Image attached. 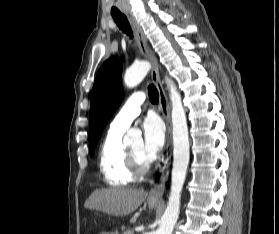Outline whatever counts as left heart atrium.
Wrapping results in <instances>:
<instances>
[{
  "mask_svg": "<svg viewBox=\"0 0 279 234\" xmlns=\"http://www.w3.org/2000/svg\"><path fill=\"white\" fill-rule=\"evenodd\" d=\"M143 148L149 160H153L162 149L165 131L162 122L155 116L147 117L142 123Z\"/></svg>",
  "mask_w": 279,
  "mask_h": 234,
  "instance_id": "39dd6f15",
  "label": "left heart atrium"
}]
</instances>
